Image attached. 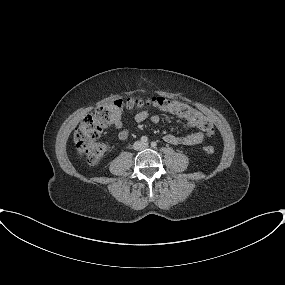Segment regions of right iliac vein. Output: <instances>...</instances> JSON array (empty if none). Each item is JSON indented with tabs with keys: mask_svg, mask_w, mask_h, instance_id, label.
I'll return each mask as SVG.
<instances>
[{
	"mask_svg": "<svg viewBox=\"0 0 285 285\" xmlns=\"http://www.w3.org/2000/svg\"><path fill=\"white\" fill-rule=\"evenodd\" d=\"M136 147H137L138 149H141V148H142V146H141L140 143H137V144H136Z\"/></svg>",
	"mask_w": 285,
	"mask_h": 285,
	"instance_id": "63e3f726",
	"label": "right iliac vein"
}]
</instances>
